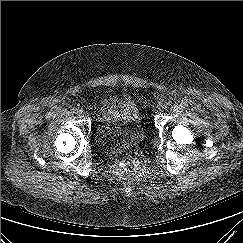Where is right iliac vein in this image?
<instances>
[{
    "instance_id": "right-iliac-vein-1",
    "label": "right iliac vein",
    "mask_w": 243,
    "mask_h": 243,
    "mask_svg": "<svg viewBox=\"0 0 243 243\" xmlns=\"http://www.w3.org/2000/svg\"><path fill=\"white\" fill-rule=\"evenodd\" d=\"M77 114H78L79 117L85 116V112L83 110H79V112Z\"/></svg>"
}]
</instances>
